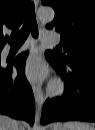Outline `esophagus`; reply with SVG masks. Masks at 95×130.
I'll use <instances>...</instances> for the list:
<instances>
[{
  "label": "esophagus",
  "mask_w": 95,
  "mask_h": 130,
  "mask_svg": "<svg viewBox=\"0 0 95 130\" xmlns=\"http://www.w3.org/2000/svg\"><path fill=\"white\" fill-rule=\"evenodd\" d=\"M38 4H39V1L35 0V7L36 8L38 7ZM32 90H33V94H34V97H35V100H36L37 104L41 107L44 100H43V96H42L40 87L38 85H36V84H33L32 85Z\"/></svg>",
  "instance_id": "esophagus-1"
}]
</instances>
